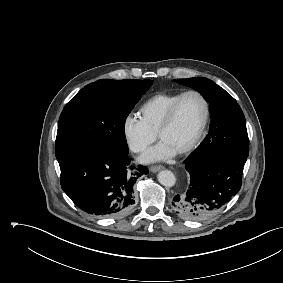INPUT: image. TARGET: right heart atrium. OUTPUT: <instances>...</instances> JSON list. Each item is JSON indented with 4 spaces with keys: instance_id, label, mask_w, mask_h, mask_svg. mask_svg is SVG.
<instances>
[{
    "instance_id": "d8ad5b80",
    "label": "right heart atrium",
    "mask_w": 283,
    "mask_h": 283,
    "mask_svg": "<svg viewBox=\"0 0 283 283\" xmlns=\"http://www.w3.org/2000/svg\"><path fill=\"white\" fill-rule=\"evenodd\" d=\"M122 132L129 149L134 153L144 152L156 140V134L148 129L140 117L134 114L125 116Z\"/></svg>"
}]
</instances>
